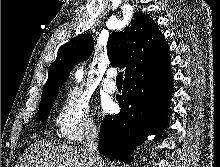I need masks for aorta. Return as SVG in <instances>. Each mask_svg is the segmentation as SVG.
<instances>
[{"label": "aorta", "instance_id": "762f6f07", "mask_svg": "<svg viewBox=\"0 0 220 167\" xmlns=\"http://www.w3.org/2000/svg\"><path fill=\"white\" fill-rule=\"evenodd\" d=\"M82 74H83L82 71L77 72L76 77H77L78 81H80L82 79Z\"/></svg>", "mask_w": 220, "mask_h": 167}]
</instances>
